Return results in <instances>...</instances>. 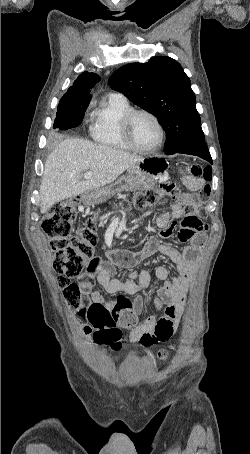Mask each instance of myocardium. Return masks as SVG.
<instances>
[{
	"instance_id": "1",
	"label": "myocardium",
	"mask_w": 250,
	"mask_h": 454,
	"mask_svg": "<svg viewBox=\"0 0 250 454\" xmlns=\"http://www.w3.org/2000/svg\"><path fill=\"white\" fill-rule=\"evenodd\" d=\"M139 115H145L151 118L159 132V139L157 143L154 146L147 149L141 148L138 145H136L132 137V124L134 119ZM121 133L128 147L142 154H151L156 152L158 149L161 148L165 140V130L160 119L153 112L146 109H132L128 111L121 119Z\"/></svg>"
}]
</instances>
